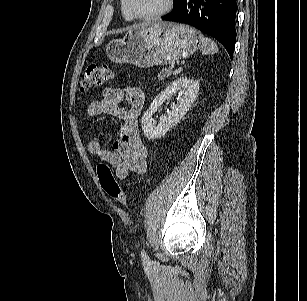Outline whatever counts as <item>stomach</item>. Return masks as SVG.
<instances>
[{"mask_svg":"<svg viewBox=\"0 0 307 301\" xmlns=\"http://www.w3.org/2000/svg\"><path fill=\"white\" fill-rule=\"evenodd\" d=\"M201 42L200 32L189 25L158 21L136 27L123 39L111 41L106 54L114 63L147 68L188 58Z\"/></svg>","mask_w":307,"mask_h":301,"instance_id":"obj_1","label":"stomach"}]
</instances>
